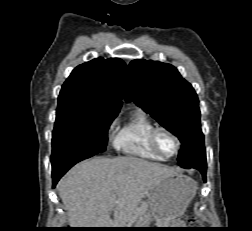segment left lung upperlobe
I'll use <instances>...</instances> for the list:
<instances>
[{"label": "left lung upper lobe", "mask_w": 252, "mask_h": 231, "mask_svg": "<svg viewBox=\"0 0 252 231\" xmlns=\"http://www.w3.org/2000/svg\"><path fill=\"white\" fill-rule=\"evenodd\" d=\"M125 99L134 101L182 143L178 163H206L201 131L199 100L190 83L178 70L159 61L133 60L127 67Z\"/></svg>", "instance_id": "5c2ea615"}]
</instances>
